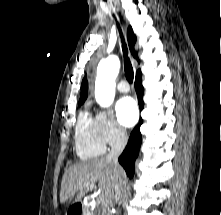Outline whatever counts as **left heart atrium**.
Returning <instances> with one entry per match:
<instances>
[{"label": "left heart atrium", "instance_id": "obj_1", "mask_svg": "<svg viewBox=\"0 0 221 215\" xmlns=\"http://www.w3.org/2000/svg\"><path fill=\"white\" fill-rule=\"evenodd\" d=\"M116 113L119 122L125 127L133 126L138 120V109L131 97H124L116 105Z\"/></svg>", "mask_w": 221, "mask_h": 215}]
</instances>
